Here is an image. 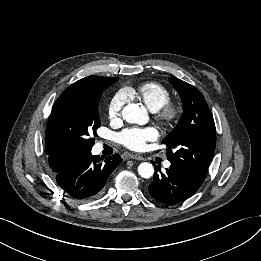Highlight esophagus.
Wrapping results in <instances>:
<instances>
[{
  "mask_svg": "<svg viewBox=\"0 0 261 261\" xmlns=\"http://www.w3.org/2000/svg\"><path fill=\"white\" fill-rule=\"evenodd\" d=\"M130 158L135 159V160H144L145 159L143 156L138 155V154H131Z\"/></svg>",
  "mask_w": 261,
  "mask_h": 261,
  "instance_id": "obj_1",
  "label": "esophagus"
}]
</instances>
